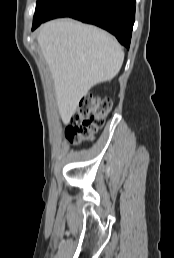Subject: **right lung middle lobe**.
<instances>
[{"label": "right lung middle lobe", "mask_w": 174, "mask_h": 258, "mask_svg": "<svg viewBox=\"0 0 174 258\" xmlns=\"http://www.w3.org/2000/svg\"><path fill=\"white\" fill-rule=\"evenodd\" d=\"M61 0H37V5L35 9V14L33 18V27L41 24L49 12L60 2Z\"/></svg>", "instance_id": "1"}]
</instances>
